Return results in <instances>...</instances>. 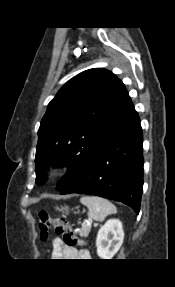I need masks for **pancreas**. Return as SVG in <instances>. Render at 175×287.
Returning <instances> with one entry per match:
<instances>
[{
	"label": "pancreas",
	"mask_w": 175,
	"mask_h": 287,
	"mask_svg": "<svg viewBox=\"0 0 175 287\" xmlns=\"http://www.w3.org/2000/svg\"><path fill=\"white\" fill-rule=\"evenodd\" d=\"M90 230H91V226L86 225V226H82V228L78 230V233L81 237H87L90 233Z\"/></svg>",
	"instance_id": "cf45deb5"
}]
</instances>
